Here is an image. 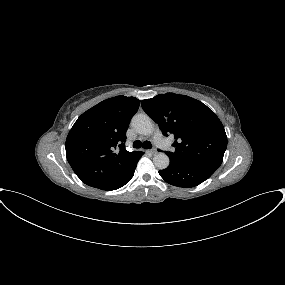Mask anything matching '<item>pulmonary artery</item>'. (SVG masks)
<instances>
[{
    "mask_svg": "<svg viewBox=\"0 0 285 285\" xmlns=\"http://www.w3.org/2000/svg\"><path fill=\"white\" fill-rule=\"evenodd\" d=\"M154 140L155 143L158 145L159 148L163 149V150H169L170 149V143L161 136V133L159 130L155 131L154 134Z\"/></svg>",
    "mask_w": 285,
    "mask_h": 285,
    "instance_id": "e3ab8cb5",
    "label": "pulmonary artery"
}]
</instances>
